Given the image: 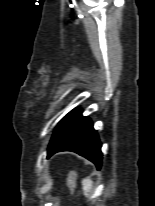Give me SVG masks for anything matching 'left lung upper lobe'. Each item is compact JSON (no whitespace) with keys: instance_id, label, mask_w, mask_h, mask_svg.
Segmentation results:
<instances>
[{"instance_id":"obj_1","label":"left lung upper lobe","mask_w":155,"mask_h":206,"mask_svg":"<svg viewBox=\"0 0 155 206\" xmlns=\"http://www.w3.org/2000/svg\"><path fill=\"white\" fill-rule=\"evenodd\" d=\"M81 118L82 111L80 109H74L69 112L56 127L49 147L64 136Z\"/></svg>"}]
</instances>
